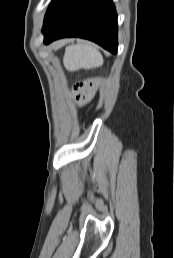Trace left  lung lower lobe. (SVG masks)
<instances>
[{"instance_id": "left-lung-lower-lobe-1", "label": "left lung lower lobe", "mask_w": 174, "mask_h": 258, "mask_svg": "<svg viewBox=\"0 0 174 258\" xmlns=\"http://www.w3.org/2000/svg\"><path fill=\"white\" fill-rule=\"evenodd\" d=\"M42 31L45 44L81 37L117 53V14L112 0H58L45 17Z\"/></svg>"}]
</instances>
